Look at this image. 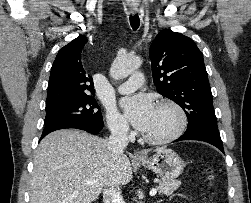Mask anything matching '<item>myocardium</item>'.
Instances as JSON below:
<instances>
[{"mask_svg": "<svg viewBox=\"0 0 251 203\" xmlns=\"http://www.w3.org/2000/svg\"><path fill=\"white\" fill-rule=\"evenodd\" d=\"M157 107H168L175 111L178 117V122L175 129L168 135L162 137H152L145 133L142 135L143 139L150 144H166L179 138L185 131L188 123L187 114L185 110L177 102L173 100H163L157 104Z\"/></svg>", "mask_w": 251, "mask_h": 203, "instance_id": "obj_1", "label": "myocardium"}]
</instances>
